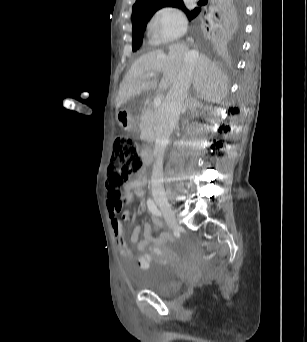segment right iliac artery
<instances>
[{
    "instance_id": "right-iliac-artery-1",
    "label": "right iliac artery",
    "mask_w": 307,
    "mask_h": 342,
    "mask_svg": "<svg viewBox=\"0 0 307 342\" xmlns=\"http://www.w3.org/2000/svg\"><path fill=\"white\" fill-rule=\"evenodd\" d=\"M147 206H148L149 211L152 214H154L156 216H160L161 215L159 209L157 208L156 204L154 203V201L152 199H148L147 200Z\"/></svg>"
}]
</instances>
